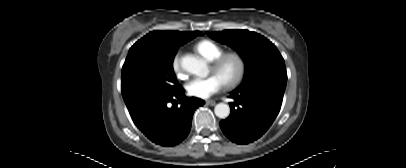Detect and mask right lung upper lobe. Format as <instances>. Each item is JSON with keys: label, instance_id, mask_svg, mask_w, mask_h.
<instances>
[{"label": "right lung upper lobe", "instance_id": "cb5924a9", "mask_svg": "<svg viewBox=\"0 0 406 168\" xmlns=\"http://www.w3.org/2000/svg\"><path fill=\"white\" fill-rule=\"evenodd\" d=\"M202 32L152 31L141 38L135 45H149L161 50H177L179 46L201 35Z\"/></svg>", "mask_w": 406, "mask_h": 168}]
</instances>
